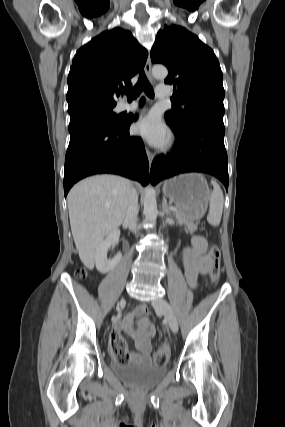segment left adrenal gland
<instances>
[{"mask_svg":"<svg viewBox=\"0 0 285 427\" xmlns=\"http://www.w3.org/2000/svg\"><path fill=\"white\" fill-rule=\"evenodd\" d=\"M162 210H163V212H164V213H166L167 215H171V212H170V210H169V208H168V206H167V201H166V198H165V197H163Z\"/></svg>","mask_w":285,"mask_h":427,"instance_id":"a2214340","label":"left adrenal gland"}]
</instances>
